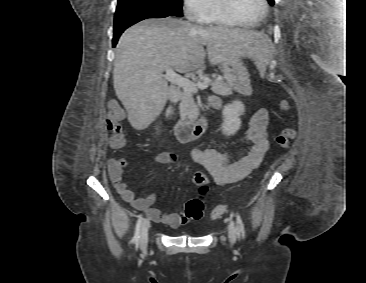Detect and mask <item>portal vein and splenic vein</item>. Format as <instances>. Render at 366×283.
I'll use <instances>...</instances> for the list:
<instances>
[{
	"label": "portal vein and splenic vein",
	"mask_w": 366,
	"mask_h": 283,
	"mask_svg": "<svg viewBox=\"0 0 366 283\" xmlns=\"http://www.w3.org/2000/svg\"><path fill=\"white\" fill-rule=\"evenodd\" d=\"M163 78L170 81L172 84L183 88L184 91L191 93H197L198 89H205L211 82L209 79H205L203 82L192 81L187 77H183L176 73L173 69H167Z\"/></svg>",
	"instance_id": "1"
}]
</instances>
